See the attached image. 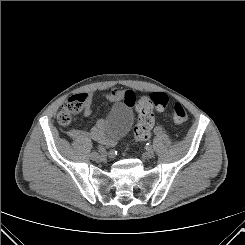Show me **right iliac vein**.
<instances>
[{
	"label": "right iliac vein",
	"instance_id": "1",
	"mask_svg": "<svg viewBox=\"0 0 245 245\" xmlns=\"http://www.w3.org/2000/svg\"><path fill=\"white\" fill-rule=\"evenodd\" d=\"M91 159L97 160L99 158V154L97 152H92L90 154Z\"/></svg>",
	"mask_w": 245,
	"mask_h": 245
}]
</instances>
